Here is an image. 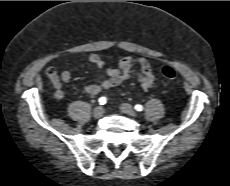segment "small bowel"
<instances>
[{
    "instance_id": "obj_1",
    "label": "small bowel",
    "mask_w": 230,
    "mask_h": 186,
    "mask_svg": "<svg viewBox=\"0 0 230 186\" xmlns=\"http://www.w3.org/2000/svg\"><path fill=\"white\" fill-rule=\"evenodd\" d=\"M89 62L99 72V78L95 83L86 85L84 92L88 95H97L103 91L109 90L120 85L122 82L137 77L140 86L144 91H148L155 86V76L152 72L150 63L145 58H133L125 56L118 62L116 67H106V63L100 55L92 53L89 56ZM135 67L139 71L134 70ZM105 75L108 77L106 78ZM71 79V70L64 69L60 77H54L55 98L61 100L64 98L62 84L68 83Z\"/></svg>"
}]
</instances>
